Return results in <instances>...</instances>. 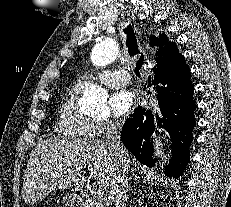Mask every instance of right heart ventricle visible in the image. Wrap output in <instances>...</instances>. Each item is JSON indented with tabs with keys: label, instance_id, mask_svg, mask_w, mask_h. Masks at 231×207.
<instances>
[{
	"label": "right heart ventricle",
	"instance_id": "e07e8e85",
	"mask_svg": "<svg viewBox=\"0 0 231 207\" xmlns=\"http://www.w3.org/2000/svg\"><path fill=\"white\" fill-rule=\"evenodd\" d=\"M81 88L75 86L62 102L57 116V133L71 140L93 138L95 122L78 108L77 95Z\"/></svg>",
	"mask_w": 231,
	"mask_h": 207
}]
</instances>
